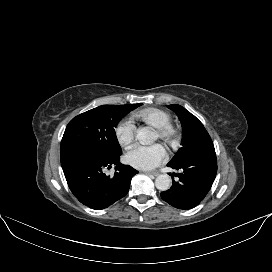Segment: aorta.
I'll return each instance as SVG.
<instances>
[{
	"label": "aorta",
	"mask_w": 272,
	"mask_h": 272,
	"mask_svg": "<svg viewBox=\"0 0 272 272\" xmlns=\"http://www.w3.org/2000/svg\"><path fill=\"white\" fill-rule=\"evenodd\" d=\"M136 139L141 144H144V145L151 144L155 141L156 135L150 127H143L140 130H138ZM155 186L160 191H166L171 186V178L166 174L159 175L155 179Z\"/></svg>",
	"instance_id": "obj_1"
}]
</instances>
